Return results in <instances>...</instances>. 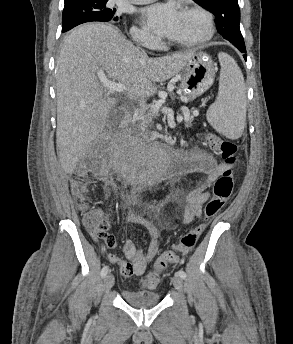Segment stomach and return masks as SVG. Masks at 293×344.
Here are the masks:
<instances>
[{"mask_svg": "<svg viewBox=\"0 0 293 344\" xmlns=\"http://www.w3.org/2000/svg\"><path fill=\"white\" fill-rule=\"evenodd\" d=\"M215 72L216 67L212 59L203 52H197L176 74V79L184 94L194 99L210 88L214 82Z\"/></svg>", "mask_w": 293, "mask_h": 344, "instance_id": "stomach-1", "label": "stomach"}]
</instances>
